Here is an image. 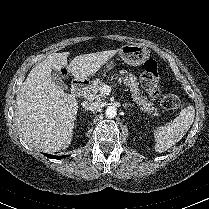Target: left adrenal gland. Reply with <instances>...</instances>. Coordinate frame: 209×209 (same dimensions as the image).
I'll return each mask as SVG.
<instances>
[{"mask_svg":"<svg viewBox=\"0 0 209 209\" xmlns=\"http://www.w3.org/2000/svg\"><path fill=\"white\" fill-rule=\"evenodd\" d=\"M123 106H124V108H126V107H133V105L131 103H127V104H125Z\"/></svg>","mask_w":209,"mask_h":209,"instance_id":"obj_1","label":"left adrenal gland"}]
</instances>
